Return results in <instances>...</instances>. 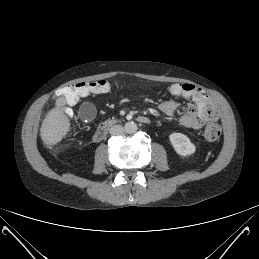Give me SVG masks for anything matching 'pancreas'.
Wrapping results in <instances>:
<instances>
[{"label":"pancreas","instance_id":"1","mask_svg":"<svg viewBox=\"0 0 259 259\" xmlns=\"http://www.w3.org/2000/svg\"><path fill=\"white\" fill-rule=\"evenodd\" d=\"M118 120L115 117H112V119L109 120V122L116 123Z\"/></svg>","mask_w":259,"mask_h":259}]
</instances>
